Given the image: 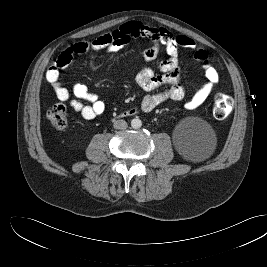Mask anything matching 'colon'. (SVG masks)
I'll list each match as a JSON object with an SVG mask.
<instances>
[{
  "mask_svg": "<svg viewBox=\"0 0 267 267\" xmlns=\"http://www.w3.org/2000/svg\"><path fill=\"white\" fill-rule=\"evenodd\" d=\"M233 99L231 96L219 93L213 101V116L217 120L226 119L232 112ZM47 119L57 129H63L68 122L66 108L61 103H56L47 111Z\"/></svg>",
  "mask_w": 267,
  "mask_h": 267,
  "instance_id": "colon-1",
  "label": "colon"
}]
</instances>
